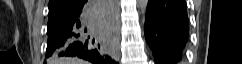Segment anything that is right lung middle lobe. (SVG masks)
<instances>
[{"label": "right lung middle lobe", "instance_id": "dd1d6c3e", "mask_svg": "<svg viewBox=\"0 0 242 64\" xmlns=\"http://www.w3.org/2000/svg\"><path fill=\"white\" fill-rule=\"evenodd\" d=\"M74 16V12L49 13L47 30L51 29L56 23L68 20Z\"/></svg>", "mask_w": 242, "mask_h": 64}]
</instances>
